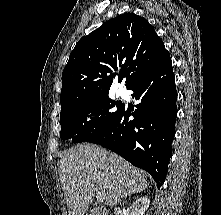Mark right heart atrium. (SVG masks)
<instances>
[{
	"instance_id": "right-heart-atrium-1",
	"label": "right heart atrium",
	"mask_w": 221,
	"mask_h": 215,
	"mask_svg": "<svg viewBox=\"0 0 221 215\" xmlns=\"http://www.w3.org/2000/svg\"><path fill=\"white\" fill-rule=\"evenodd\" d=\"M87 115H88L90 121L94 122V121L98 120V118L100 116V112L97 108L93 107V108L88 109Z\"/></svg>"
}]
</instances>
